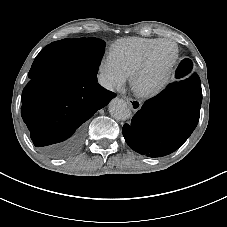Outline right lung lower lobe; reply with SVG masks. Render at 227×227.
<instances>
[{
	"label": "right lung lower lobe",
	"instance_id": "1",
	"mask_svg": "<svg viewBox=\"0 0 227 227\" xmlns=\"http://www.w3.org/2000/svg\"><path fill=\"white\" fill-rule=\"evenodd\" d=\"M72 46V39L45 46L32 65L45 75L31 78L22 92V118L31 139L51 158L77 152L83 124L116 96L97 83V76L74 74L62 65Z\"/></svg>",
	"mask_w": 227,
	"mask_h": 227
}]
</instances>
